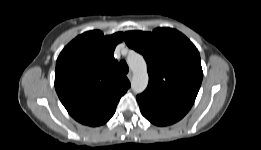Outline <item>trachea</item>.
Listing matches in <instances>:
<instances>
[{
  "instance_id": "1",
  "label": "trachea",
  "mask_w": 261,
  "mask_h": 150,
  "mask_svg": "<svg viewBox=\"0 0 261 150\" xmlns=\"http://www.w3.org/2000/svg\"><path fill=\"white\" fill-rule=\"evenodd\" d=\"M120 69L125 74L129 71L128 65L124 60L120 62Z\"/></svg>"
}]
</instances>
